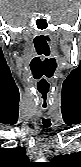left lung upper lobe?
<instances>
[{
	"mask_svg": "<svg viewBox=\"0 0 81 167\" xmlns=\"http://www.w3.org/2000/svg\"><path fill=\"white\" fill-rule=\"evenodd\" d=\"M81 153H71L55 156L47 167H80Z\"/></svg>",
	"mask_w": 81,
	"mask_h": 167,
	"instance_id": "obj_1",
	"label": "left lung upper lobe"
}]
</instances>
